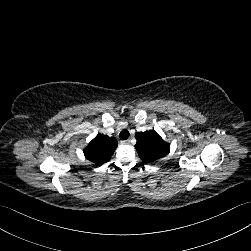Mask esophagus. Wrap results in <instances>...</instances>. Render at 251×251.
Returning <instances> with one entry per match:
<instances>
[{
  "label": "esophagus",
  "instance_id": "esophagus-1",
  "mask_svg": "<svg viewBox=\"0 0 251 251\" xmlns=\"http://www.w3.org/2000/svg\"><path fill=\"white\" fill-rule=\"evenodd\" d=\"M121 144H129L130 143V140H122L120 141Z\"/></svg>",
  "mask_w": 251,
  "mask_h": 251
}]
</instances>
